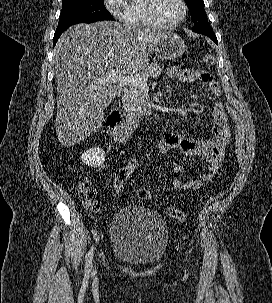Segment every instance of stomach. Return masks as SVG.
I'll use <instances>...</instances> for the list:
<instances>
[{
  "label": "stomach",
  "mask_w": 272,
  "mask_h": 303,
  "mask_svg": "<svg viewBox=\"0 0 272 303\" xmlns=\"http://www.w3.org/2000/svg\"><path fill=\"white\" fill-rule=\"evenodd\" d=\"M186 50V44L175 33H169L165 39L161 41L155 50L158 59L173 60L180 57Z\"/></svg>",
  "instance_id": "0dacf381"
}]
</instances>
